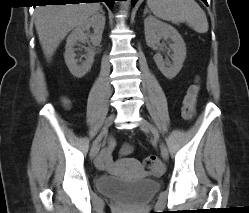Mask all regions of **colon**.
I'll list each match as a JSON object with an SVG mask.
<instances>
[{
  "label": "colon",
  "instance_id": "1",
  "mask_svg": "<svg viewBox=\"0 0 249 213\" xmlns=\"http://www.w3.org/2000/svg\"><path fill=\"white\" fill-rule=\"evenodd\" d=\"M200 92V86L198 83L191 85L183 99L182 115L185 119H192L196 112V104ZM144 167L147 170H157L160 165V161L156 156H148L143 161Z\"/></svg>",
  "mask_w": 249,
  "mask_h": 213
}]
</instances>
